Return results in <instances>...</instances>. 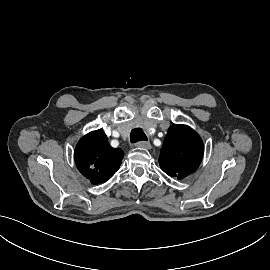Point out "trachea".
Instances as JSON below:
<instances>
[{
    "instance_id": "obj_1",
    "label": "trachea",
    "mask_w": 270,
    "mask_h": 270,
    "mask_svg": "<svg viewBox=\"0 0 270 270\" xmlns=\"http://www.w3.org/2000/svg\"><path fill=\"white\" fill-rule=\"evenodd\" d=\"M146 140H147V136L145 135V133L143 132L141 128H135L131 131V134H130L131 143H136L138 141H146Z\"/></svg>"
}]
</instances>
